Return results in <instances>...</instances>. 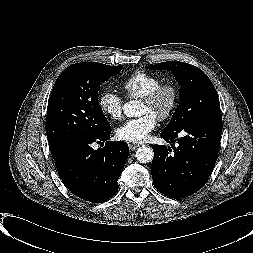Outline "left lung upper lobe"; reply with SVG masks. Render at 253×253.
I'll use <instances>...</instances> for the list:
<instances>
[{
  "label": "left lung upper lobe",
  "mask_w": 253,
  "mask_h": 253,
  "mask_svg": "<svg viewBox=\"0 0 253 253\" xmlns=\"http://www.w3.org/2000/svg\"><path fill=\"white\" fill-rule=\"evenodd\" d=\"M146 68L171 71L181 86V103L163 133L172 134L194 122H222L216 89L202 70L180 61L157 63Z\"/></svg>",
  "instance_id": "5c2ea615"
}]
</instances>
